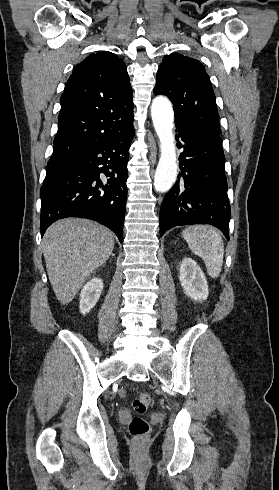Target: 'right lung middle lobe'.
I'll return each instance as SVG.
<instances>
[{
    "instance_id": "obj_1",
    "label": "right lung middle lobe",
    "mask_w": 279,
    "mask_h": 490,
    "mask_svg": "<svg viewBox=\"0 0 279 490\" xmlns=\"http://www.w3.org/2000/svg\"><path fill=\"white\" fill-rule=\"evenodd\" d=\"M56 168H57V165H55V164H48L47 169H46V172L47 173H50L53 170H55Z\"/></svg>"
}]
</instances>
